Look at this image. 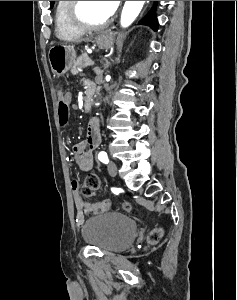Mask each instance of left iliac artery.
Here are the masks:
<instances>
[{
    "label": "left iliac artery",
    "instance_id": "44dca946",
    "mask_svg": "<svg viewBox=\"0 0 237 300\" xmlns=\"http://www.w3.org/2000/svg\"><path fill=\"white\" fill-rule=\"evenodd\" d=\"M98 159L105 164H108V162H109L107 153L104 151H102L98 154Z\"/></svg>",
    "mask_w": 237,
    "mask_h": 300
}]
</instances>
